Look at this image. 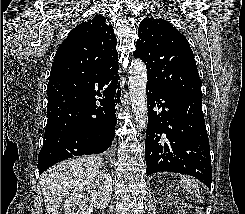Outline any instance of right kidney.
I'll return each instance as SVG.
<instances>
[{
	"mask_svg": "<svg viewBox=\"0 0 245 214\" xmlns=\"http://www.w3.org/2000/svg\"><path fill=\"white\" fill-rule=\"evenodd\" d=\"M91 194V199L86 198ZM112 179L105 170H94L87 174L66 199L65 214H92L95 209H105L111 199ZM89 201V206L87 202Z\"/></svg>",
	"mask_w": 245,
	"mask_h": 214,
	"instance_id": "obj_1",
	"label": "right kidney"
}]
</instances>
